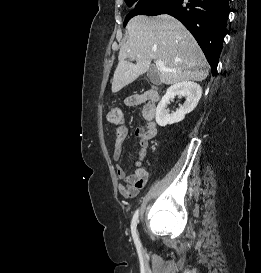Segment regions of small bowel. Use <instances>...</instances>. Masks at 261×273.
Masks as SVG:
<instances>
[{
  "instance_id": "c3829d8e",
  "label": "small bowel",
  "mask_w": 261,
  "mask_h": 273,
  "mask_svg": "<svg viewBox=\"0 0 261 273\" xmlns=\"http://www.w3.org/2000/svg\"><path fill=\"white\" fill-rule=\"evenodd\" d=\"M145 103L143 108V118L146 121V128L137 127L135 136L138 139L139 149L137 151L136 160L134 162L135 170L127 175L123 167L120 165L122 159L123 143L128 135V127L124 120L118 124L114 132V148L112 159L116 163V173L119 180L123 183L118 185L119 193L125 198H134L138 192L145 186L147 181V171L142 165V161L147 156L148 144L157 134V124L155 122L156 102L150 98V92L134 94L127 98V106H137Z\"/></svg>"
}]
</instances>
